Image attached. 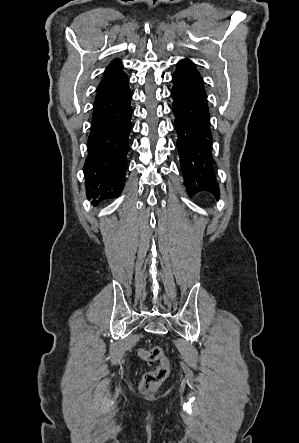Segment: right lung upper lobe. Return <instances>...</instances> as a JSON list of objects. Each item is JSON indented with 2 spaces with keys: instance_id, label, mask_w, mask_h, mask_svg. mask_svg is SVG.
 <instances>
[{
  "instance_id": "obj_1",
  "label": "right lung upper lobe",
  "mask_w": 299,
  "mask_h": 443,
  "mask_svg": "<svg viewBox=\"0 0 299 443\" xmlns=\"http://www.w3.org/2000/svg\"><path fill=\"white\" fill-rule=\"evenodd\" d=\"M122 69L123 65L120 61L118 60L113 61L105 70L103 79L100 82L98 89L107 85L108 83L119 77L120 75L124 74Z\"/></svg>"
}]
</instances>
